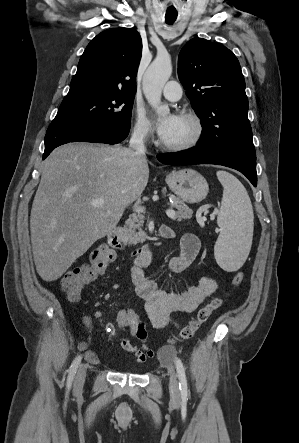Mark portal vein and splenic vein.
I'll return each instance as SVG.
<instances>
[{"mask_svg":"<svg viewBox=\"0 0 299 443\" xmlns=\"http://www.w3.org/2000/svg\"><path fill=\"white\" fill-rule=\"evenodd\" d=\"M104 203H105L104 199L99 198V199H95V200H93V201L91 202V205L94 206V207H100V206H103ZM204 207L207 208L208 206L205 205ZM136 211L140 212V211H143V209H142L141 207H139V208L136 209ZM166 214H167V216L170 217V218H174V216H175V212H174L172 209H168V210L166 211Z\"/></svg>","mask_w":299,"mask_h":443,"instance_id":"obj_1","label":"portal vein and splenic vein"}]
</instances>
